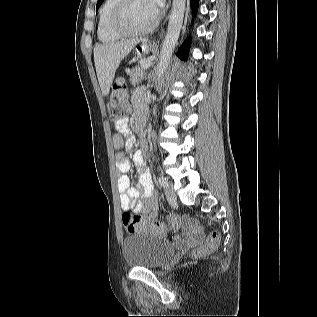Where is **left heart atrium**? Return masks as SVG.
<instances>
[{
  "label": "left heart atrium",
  "instance_id": "39dd6f15",
  "mask_svg": "<svg viewBox=\"0 0 317 317\" xmlns=\"http://www.w3.org/2000/svg\"><path fill=\"white\" fill-rule=\"evenodd\" d=\"M153 8L155 9V11L158 13L160 8L163 5L164 0H150Z\"/></svg>",
  "mask_w": 317,
  "mask_h": 317
}]
</instances>
